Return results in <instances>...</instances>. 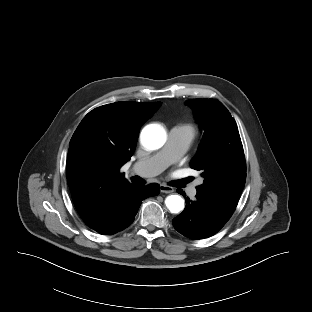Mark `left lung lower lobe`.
Wrapping results in <instances>:
<instances>
[{
    "mask_svg": "<svg viewBox=\"0 0 312 312\" xmlns=\"http://www.w3.org/2000/svg\"><path fill=\"white\" fill-rule=\"evenodd\" d=\"M183 196L182 190H177ZM234 210L221 202L196 194V200L186 198L184 211L173 219L174 228L191 239H203L216 234L229 220Z\"/></svg>",
    "mask_w": 312,
    "mask_h": 312,
    "instance_id": "obj_1",
    "label": "left lung lower lobe"
}]
</instances>
